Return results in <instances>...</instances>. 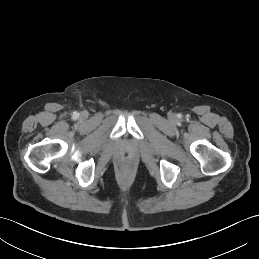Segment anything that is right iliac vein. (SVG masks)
I'll return each instance as SVG.
<instances>
[{"label": "right iliac vein", "mask_w": 259, "mask_h": 259, "mask_svg": "<svg viewBox=\"0 0 259 259\" xmlns=\"http://www.w3.org/2000/svg\"><path fill=\"white\" fill-rule=\"evenodd\" d=\"M81 116H85V114H81Z\"/></svg>", "instance_id": "obj_1"}]
</instances>
